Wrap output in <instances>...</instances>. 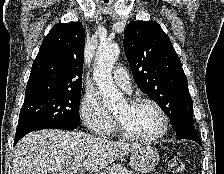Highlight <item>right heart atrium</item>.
<instances>
[{
    "label": "right heart atrium",
    "instance_id": "d8ad5b80",
    "mask_svg": "<svg viewBox=\"0 0 224 174\" xmlns=\"http://www.w3.org/2000/svg\"><path fill=\"white\" fill-rule=\"evenodd\" d=\"M80 113L83 123L94 134L106 136L112 132L114 120L95 93L87 92L84 95Z\"/></svg>",
    "mask_w": 224,
    "mask_h": 174
}]
</instances>
